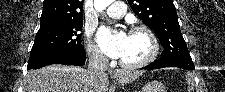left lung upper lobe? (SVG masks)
Segmentation results:
<instances>
[{
  "mask_svg": "<svg viewBox=\"0 0 225 92\" xmlns=\"http://www.w3.org/2000/svg\"><path fill=\"white\" fill-rule=\"evenodd\" d=\"M128 3L160 40L164 47L162 60L191 59L172 0H128Z\"/></svg>",
  "mask_w": 225,
  "mask_h": 92,
  "instance_id": "5c2ea615",
  "label": "left lung upper lobe"
}]
</instances>
